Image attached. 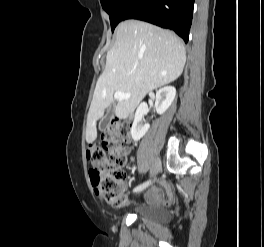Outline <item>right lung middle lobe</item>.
<instances>
[{
	"instance_id": "right-lung-middle-lobe-1",
	"label": "right lung middle lobe",
	"mask_w": 264,
	"mask_h": 247,
	"mask_svg": "<svg viewBox=\"0 0 264 247\" xmlns=\"http://www.w3.org/2000/svg\"><path fill=\"white\" fill-rule=\"evenodd\" d=\"M134 0H100L103 9L109 14L112 32Z\"/></svg>"
}]
</instances>
